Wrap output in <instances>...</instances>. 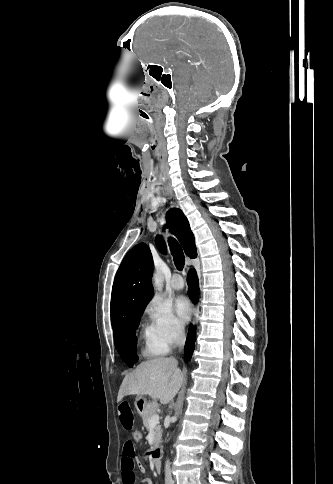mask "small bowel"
<instances>
[{"instance_id": "small-bowel-1", "label": "small bowel", "mask_w": 333, "mask_h": 484, "mask_svg": "<svg viewBox=\"0 0 333 484\" xmlns=\"http://www.w3.org/2000/svg\"><path fill=\"white\" fill-rule=\"evenodd\" d=\"M118 419L121 427L126 432L134 429V413L129 402L123 400L117 408ZM135 464L144 472V467L137 460L135 449L132 441L127 440L123 445V454L121 459L122 481L123 484H135ZM145 484H150V480L144 479Z\"/></svg>"}]
</instances>
